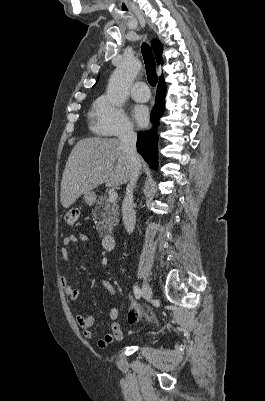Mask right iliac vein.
Masks as SVG:
<instances>
[{"mask_svg": "<svg viewBox=\"0 0 265 401\" xmlns=\"http://www.w3.org/2000/svg\"><path fill=\"white\" fill-rule=\"evenodd\" d=\"M143 297L146 302H149L152 298V289L148 283H143Z\"/></svg>", "mask_w": 265, "mask_h": 401, "instance_id": "63e3f726", "label": "right iliac vein"}]
</instances>
